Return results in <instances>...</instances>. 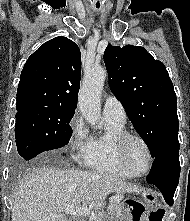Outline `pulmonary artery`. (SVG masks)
Returning a JSON list of instances; mask_svg holds the SVG:
<instances>
[{"label": "pulmonary artery", "instance_id": "obj_1", "mask_svg": "<svg viewBox=\"0 0 190 221\" xmlns=\"http://www.w3.org/2000/svg\"><path fill=\"white\" fill-rule=\"evenodd\" d=\"M105 118L126 122V112L121 102L114 96H107L103 104Z\"/></svg>", "mask_w": 190, "mask_h": 221}]
</instances>
